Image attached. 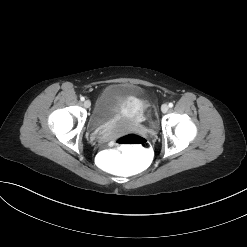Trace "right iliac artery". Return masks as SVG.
Wrapping results in <instances>:
<instances>
[{
  "instance_id": "82829eb1",
  "label": "right iliac artery",
  "mask_w": 247,
  "mask_h": 247,
  "mask_svg": "<svg viewBox=\"0 0 247 247\" xmlns=\"http://www.w3.org/2000/svg\"><path fill=\"white\" fill-rule=\"evenodd\" d=\"M80 100H81V101H84V100H85V98L82 96V97H80Z\"/></svg>"
}]
</instances>
